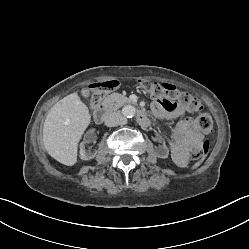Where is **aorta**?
<instances>
[{
    "label": "aorta",
    "instance_id": "762f6f07",
    "mask_svg": "<svg viewBox=\"0 0 249 249\" xmlns=\"http://www.w3.org/2000/svg\"><path fill=\"white\" fill-rule=\"evenodd\" d=\"M136 113V109L132 105H126L122 109V114L126 118H132Z\"/></svg>",
    "mask_w": 249,
    "mask_h": 249
}]
</instances>
